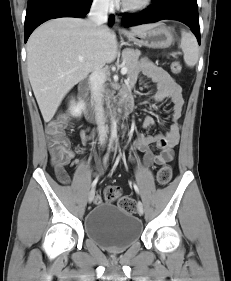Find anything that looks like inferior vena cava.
Listing matches in <instances>:
<instances>
[{"mask_svg": "<svg viewBox=\"0 0 231 281\" xmlns=\"http://www.w3.org/2000/svg\"><path fill=\"white\" fill-rule=\"evenodd\" d=\"M110 0H93L89 20L94 24L96 28L104 26L108 21V9ZM103 66H97L93 69L90 75V88L91 95L94 101L96 121L98 126L99 142L104 144L107 138V126L105 125V116L103 108V84L105 81V73Z\"/></svg>", "mask_w": 231, "mask_h": 281, "instance_id": "inferior-vena-cava-1", "label": "inferior vena cava"}]
</instances>
